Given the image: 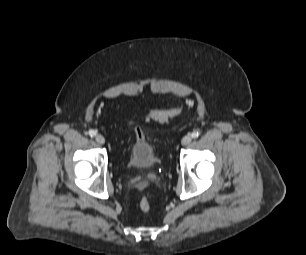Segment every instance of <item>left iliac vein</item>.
<instances>
[{
  "instance_id": "left-iliac-vein-1",
  "label": "left iliac vein",
  "mask_w": 306,
  "mask_h": 255,
  "mask_svg": "<svg viewBox=\"0 0 306 255\" xmlns=\"http://www.w3.org/2000/svg\"><path fill=\"white\" fill-rule=\"evenodd\" d=\"M192 141V137L190 135H186L181 140L182 145H188Z\"/></svg>"
}]
</instances>
